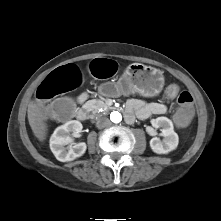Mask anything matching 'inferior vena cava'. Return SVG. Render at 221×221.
Here are the masks:
<instances>
[{
	"label": "inferior vena cava",
	"instance_id": "1",
	"mask_svg": "<svg viewBox=\"0 0 221 221\" xmlns=\"http://www.w3.org/2000/svg\"><path fill=\"white\" fill-rule=\"evenodd\" d=\"M111 122L107 117H100L96 121V127L99 129L110 126Z\"/></svg>",
	"mask_w": 221,
	"mask_h": 221
}]
</instances>
